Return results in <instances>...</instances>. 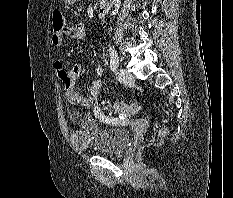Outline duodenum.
I'll return each mask as SVG.
<instances>
[{
    "instance_id": "1",
    "label": "duodenum",
    "mask_w": 233,
    "mask_h": 198,
    "mask_svg": "<svg viewBox=\"0 0 233 198\" xmlns=\"http://www.w3.org/2000/svg\"><path fill=\"white\" fill-rule=\"evenodd\" d=\"M112 6V0H101L99 9H98V16L99 18L103 19L109 12L110 8Z\"/></svg>"
}]
</instances>
